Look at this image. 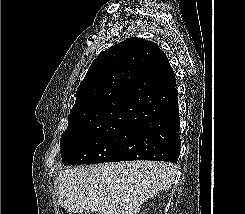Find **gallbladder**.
I'll return each mask as SVG.
<instances>
[{
  "mask_svg": "<svg viewBox=\"0 0 245 214\" xmlns=\"http://www.w3.org/2000/svg\"><path fill=\"white\" fill-rule=\"evenodd\" d=\"M85 214H100L98 211H87Z\"/></svg>",
  "mask_w": 245,
  "mask_h": 214,
  "instance_id": "gallbladder-1",
  "label": "gallbladder"
}]
</instances>
